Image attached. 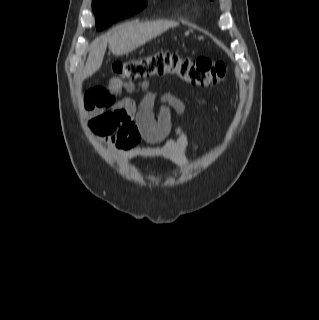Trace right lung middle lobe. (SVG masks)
<instances>
[{
	"label": "right lung middle lobe",
	"mask_w": 319,
	"mask_h": 320,
	"mask_svg": "<svg viewBox=\"0 0 319 320\" xmlns=\"http://www.w3.org/2000/svg\"><path fill=\"white\" fill-rule=\"evenodd\" d=\"M146 5L145 0H93L96 28L102 30L120 19L141 11Z\"/></svg>",
	"instance_id": "1"
}]
</instances>
